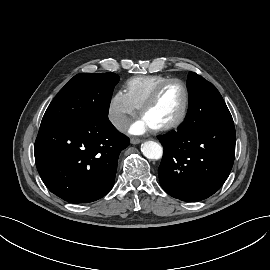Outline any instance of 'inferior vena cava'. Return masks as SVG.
I'll use <instances>...</instances> for the list:
<instances>
[{
	"instance_id": "1",
	"label": "inferior vena cava",
	"mask_w": 270,
	"mask_h": 270,
	"mask_svg": "<svg viewBox=\"0 0 270 270\" xmlns=\"http://www.w3.org/2000/svg\"><path fill=\"white\" fill-rule=\"evenodd\" d=\"M113 123L118 130H125L129 126L130 121L127 116H119Z\"/></svg>"
}]
</instances>
